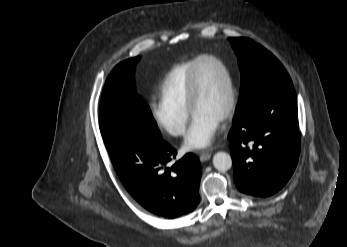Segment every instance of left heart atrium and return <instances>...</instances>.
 <instances>
[{"label": "left heart atrium", "instance_id": "1", "mask_svg": "<svg viewBox=\"0 0 347 247\" xmlns=\"http://www.w3.org/2000/svg\"><path fill=\"white\" fill-rule=\"evenodd\" d=\"M220 121L202 114H194L186 135L183 149L192 151L211 144L219 128Z\"/></svg>", "mask_w": 347, "mask_h": 247}]
</instances>
